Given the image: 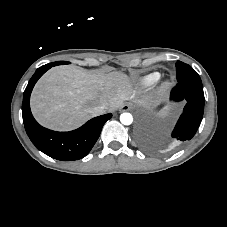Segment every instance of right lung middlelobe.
<instances>
[{
  "mask_svg": "<svg viewBox=\"0 0 227 227\" xmlns=\"http://www.w3.org/2000/svg\"><path fill=\"white\" fill-rule=\"evenodd\" d=\"M51 64H52V66H56V65L69 64V62H66V61H57V62H53Z\"/></svg>",
  "mask_w": 227,
  "mask_h": 227,
  "instance_id": "right-lung-middle-lobe-1",
  "label": "right lung middle lobe"
}]
</instances>
